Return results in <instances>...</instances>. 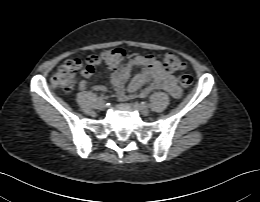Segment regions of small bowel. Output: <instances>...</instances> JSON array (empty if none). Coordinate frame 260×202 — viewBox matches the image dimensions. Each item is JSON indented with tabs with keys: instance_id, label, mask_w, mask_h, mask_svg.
Returning a JSON list of instances; mask_svg holds the SVG:
<instances>
[{
	"instance_id": "small-bowel-1",
	"label": "small bowel",
	"mask_w": 260,
	"mask_h": 202,
	"mask_svg": "<svg viewBox=\"0 0 260 202\" xmlns=\"http://www.w3.org/2000/svg\"><path fill=\"white\" fill-rule=\"evenodd\" d=\"M134 68H140V71L130 79ZM82 74L85 78H89L93 71L84 70ZM110 81L119 100L124 102L134 98H146L159 89L167 91L174 98L181 95L175 77L167 73L161 63L150 54L134 56L119 67L112 68ZM87 85V80H81L78 84L81 90H84ZM92 89L100 92L107 91L104 85H94Z\"/></svg>"
}]
</instances>
